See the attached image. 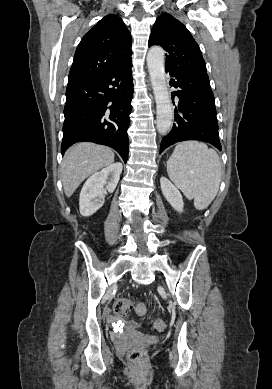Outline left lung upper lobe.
<instances>
[{
	"mask_svg": "<svg viewBox=\"0 0 272 389\" xmlns=\"http://www.w3.org/2000/svg\"><path fill=\"white\" fill-rule=\"evenodd\" d=\"M152 45H160L166 50V71L207 73L198 44L188 29L170 14L163 13L157 18L149 38V47Z\"/></svg>",
	"mask_w": 272,
	"mask_h": 389,
	"instance_id": "1",
	"label": "left lung upper lobe"
}]
</instances>
